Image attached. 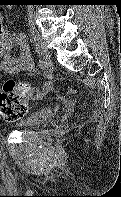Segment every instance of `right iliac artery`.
I'll return each mask as SVG.
<instances>
[{"mask_svg":"<svg viewBox=\"0 0 121 197\" xmlns=\"http://www.w3.org/2000/svg\"><path fill=\"white\" fill-rule=\"evenodd\" d=\"M38 53H39V51H38ZM40 54V53H39ZM40 56V55H39ZM44 65H45V62L42 60V59H40L39 60V66L40 67H44Z\"/></svg>","mask_w":121,"mask_h":197,"instance_id":"right-iliac-artery-1","label":"right iliac artery"}]
</instances>
